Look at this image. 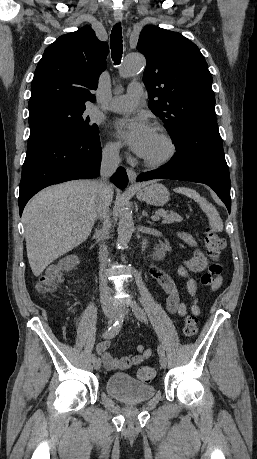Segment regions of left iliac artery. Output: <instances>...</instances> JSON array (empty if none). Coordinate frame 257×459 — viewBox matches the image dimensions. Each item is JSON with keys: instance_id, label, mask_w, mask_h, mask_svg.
Listing matches in <instances>:
<instances>
[{"instance_id": "44dca946", "label": "left iliac artery", "mask_w": 257, "mask_h": 459, "mask_svg": "<svg viewBox=\"0 0 257 459\" xmlns=\"http://www.w3.org/2000/svg\"><path fill=\"white\" fill-rule=\"evenodd\" d=\"M132 311L134 313V315L142 322H146L147 321V317H146V314L145 312L143 311V309L136 303H133L132 304ZM157 351H158V354L161 356V355H165V351H164V348L161 344L158 345L157 347Z\"/></svg>"}]
</instances>
